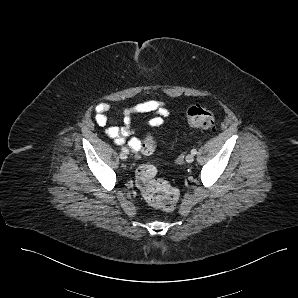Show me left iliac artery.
<instances>
[{
  "instance_id": "obj_1",
  "label": "left iliac artery",
  "mask_w": 298,
  "mask_h": 298,
  "mask_svg": "<svg viewBox=\"0 0 298 298\" xmlns=\"http://www.w3.org/2000/svg\"><path fill=\"white\" fill-rule=\"evenodd\" d=\"M197 153V150L196 149H192L191 150V154L195 155Z\"/></svg>"
}]
</instances>
